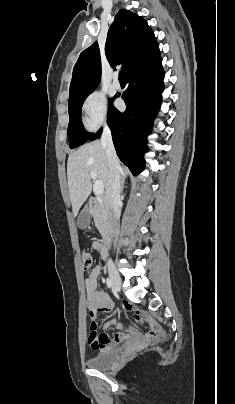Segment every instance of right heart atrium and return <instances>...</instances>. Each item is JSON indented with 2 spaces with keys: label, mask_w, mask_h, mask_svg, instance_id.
Instances as JSON below:
<instances>
[{
  "label": "right heart atrium",
  "mask_w": 235,
  "mask_h": 404,
  "mask_svg": "<svg viewBox=\"0 0 235 404\" xmlns=\"http://www.w3.org/2000/svg\"><path fill=\"white\" fill-rule=\"evenodd\" d=\"M81 111L84 125L90 131H96L108 122V101L105 95L98 90H94L86 96Z\"/></svg>",
  "instance_id": "right-heart-atrium-1"
}]
</instances>
